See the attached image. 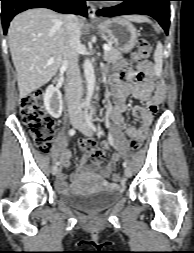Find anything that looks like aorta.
<instances>
[{
  "instance_id": "1",
  "label": "aorta",
  "mask_w": 194,
  "mask_h": 253,
  "mask_svg": "<svg viewBox=\"0 0 194 253\" xmlns=\"http://www.w3.org/2000/svg\"><path fill=\"white\" fill-rule=\"evenodd\" d=\"M84 75L86 79L87 95L85 106L88 107L95 88V74L92 62L86 59L84 62Z\"/></svg>"
}]
</instances>
